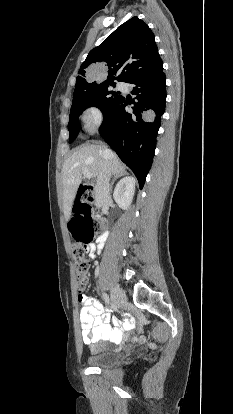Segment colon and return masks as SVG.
I'll use <instances>...</instances> for the list:
<instances>
[{"label": "colon", "instance_id": "colon-1", "mask_svg": "<svg viewBox=\"0 0 233 414\" xmlns=\"http://www.w3.org/2000/svg\"><path fill=\"white\" fill-rule=\"evenodd\" d=\"M69 229L76 243L72 246V258L77 274L78 291H84L88 285V271L90 263L85 257L87 246L93 241L96 234L102 231L103 223L91 214L87 205L80 212H74ZM82 299L79 297V300Z\"/></svg>", "mask_w": 233, "mask_h": 414}]
</instances>
